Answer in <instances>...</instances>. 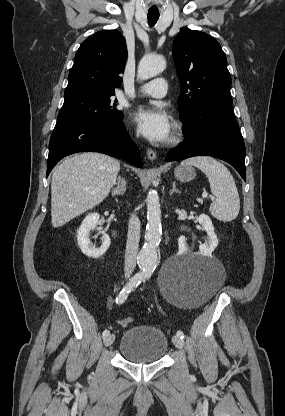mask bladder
I'll return each instance as SVG.
<instances>
[{"mask_svg": "<svg viewBox=\"0 0 285 416\" xmlns=\"http://www.w3.org/2000/svg\"><path fill=\"white\" fill-rule=\"evenodd\" d=\"M118 349L120 355L131 362H158L168 350V338L154 325H136L125 331Z\"/></svg>", "mask_w": 285, "mask_h": 416, "instance_id": "31cf9c89", "label": "bladder"}]
</instances>
